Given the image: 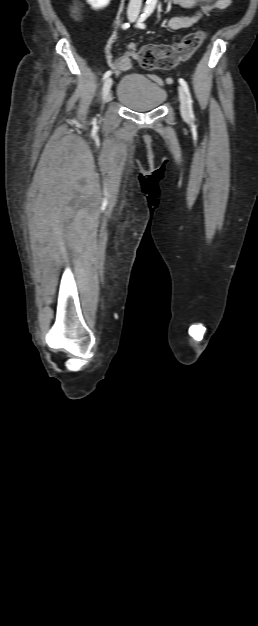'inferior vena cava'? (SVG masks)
<instances>
[{
  "label": "inferior vena cava",
  "instance_id": "602c4592",
  "mask_svg": "<svg viewBox=\"0 0 258 626\" xmlns=\"http://www.w3.org/2000/svg\"><path fill=\"white\" fill-rule=\"evenodd\" d=\"M142 5V0H130L127 14L129 16H138Z\"/></svg>",
  "mask_w": 258,
  "mask_h": 626
}]
</instances>
